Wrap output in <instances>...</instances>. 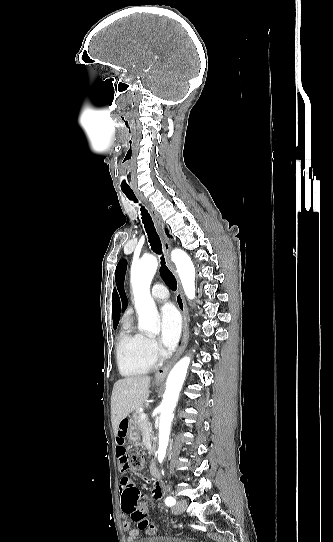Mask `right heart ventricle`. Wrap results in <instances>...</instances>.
Wrapping results in <instances>:
<instances>
[{
	"instance_id": "e07e8e85",
	"label": "right heart ventricle",
	"mask_w": 333,
	"mask_h": 542,
	"mask_svg": "<svg viewBox=\"0 0 333 542\" xmlns=\"http://www.w3.org/2000/svg\"><path fill=\"white\" fill-rule=\"evenodd\" d=\"M149 338L135 329L125 328L117 337L116 351L119 370L123 375L135 376L149 372L156 363Z\"/></svg>"
}]
</instances>
